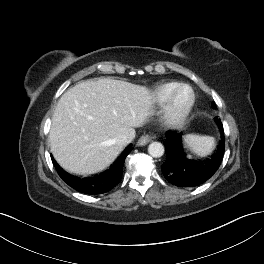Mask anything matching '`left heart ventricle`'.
Masks as SVG:
<instances>
[{"mask_svg":"<svg viewBox=\"0 0 264 264\" xmlns=\"http://www.w3.org/2000/svg\"><path fill=\"white\" fill-rule=\"evenodd\" d=\"M188 98H189V92L187 90H184L179 94L178 101L179 103H184L187 101Z\"/></svg>","mask_w":264,"mask_h":264,"instance_id":"1","label":"left heart ventricle"}]
</instances>
